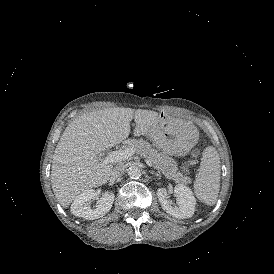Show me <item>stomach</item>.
Listing matches in <instances>:
<instances>
[{"instance_id":"obj_1","label":"stomach","mask_w":274,"mask_h":274,"mask_svg":"<svg viewBox=\"0 0 274 274\" xmlns=\"http://www.w3.org/2000/svg\"><path fill=\"white\" fill-rule=\"evenodd\" d=\"M199 131L194 125L160 114L155 129L149 132L155 145L165 154L184 158L198 143Z\"/></svg>"}]
</instances>
